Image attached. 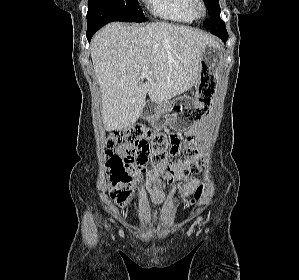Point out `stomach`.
<instances>
[{
  "label": "stomach",
  "mask_w": 299,
  "mask_h": 280,
  "mask_svg": "<svg viewBox=\"0 0 299 280\" xmlns=\"http://www.w3.org/2000/svg\"><path fill=\"white\" fill-rule=\"evenodd\" d=\"M221 60L222 53L217 46L203 47L199 63V79L195 84V97L182 96L171 102L148 104L142 111V116L156 129L167 126L181 130L189 129L198 121L196 119L198 115L209 113L217 94L216 73Z\"/></svg>",
  "instance_id": "obj_1"
}]
</instances>
